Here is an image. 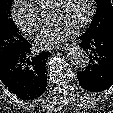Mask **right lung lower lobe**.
<instances>
[{
    "mask_svg": "<svg viewBox=\"0 0 113 113\" xmlns=\"http://www.w3.org/2000/svg\"><path fill=\"white\" fill-rule=\"evenodd\" d=\"M30 44L25 45L0 64V79L8 90L23 100L41 96L47 86L46 62L49 52L30 56Z\"/></svg>",
    "mask_w": 113,
    "mask_h": 113,
    "instance_id": "obj_1",
    "label": "right lung lower lobe"
}]
</instances>
